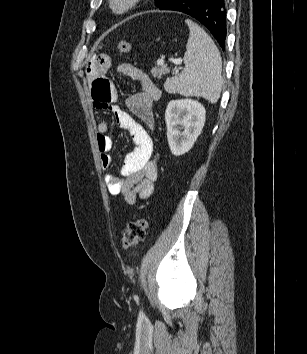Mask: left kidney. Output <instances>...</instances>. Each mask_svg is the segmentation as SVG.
<instances>
[{
    "label": "left kidney",
    "instance_id": "left-kidney-1",
    "mask_svg": "<svg viewBox=\"0 0 307 354\" xmlns=\"http://www.w3.org/2000/svg\"><path fill=\"white\" fill-rule=\"evenodd\" d=\"M206 110L197 100L178 99L169 102L165 121L167 139L173 155L188 152L201 134L205 123Z\"/></svg>",
    "mask_w": 307,
    "mask_h": 354
}]
</instances>
